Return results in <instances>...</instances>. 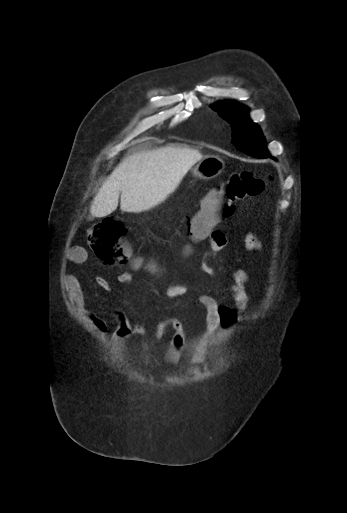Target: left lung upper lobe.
Returning a JSON list of instances; mask_svg holds the SVG:
<instances>
[{
    "label": "left lung upper lobe",
    "instance_id": "obj_1",
    "mask_svg": "<svg viewBox=\"0 0 347 513\" xmlns=\"http://www.w3.org/2000/svg\"><path fill=\"white\" fill-rule=\"evenodd\" d=\"M211 107L231 123L233 142L237 149L255 157L269 156L265 138L260 128L249 119L246 107L232 102Z\"/></svg>",
    "mask_w": 347,
    "mask_h": 513
}]
</instances>
